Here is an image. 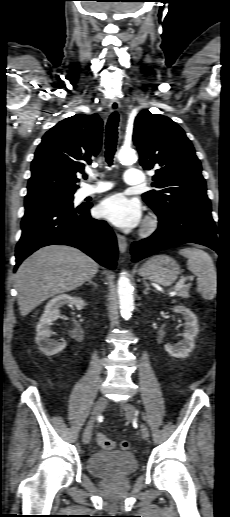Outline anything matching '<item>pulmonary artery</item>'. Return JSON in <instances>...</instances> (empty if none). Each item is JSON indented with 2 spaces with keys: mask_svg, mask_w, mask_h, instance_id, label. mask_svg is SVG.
Here are the masks:
<instances>
[{
  "mask_svg": "<svg viewBox=\"0 0 230 517\" xmlns=\"http://www.w3.org/2000/svg\"><path fill=\"white\" fill-rule=\"evenodd\" d=\"M124 180L127 185H139L144 181V175L139 169L128 168L125 172ZM111 187L112 185L109 183H99L96 186L86 188L84 194L89 196L102 193Z\"/></svg>",
  "mask_w": 230,
  "mask_h": 517,
  "instance_id": "1",
  "label": "pulmonary artery"
}]
</instances>
